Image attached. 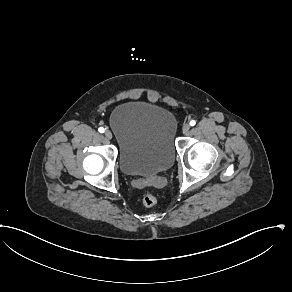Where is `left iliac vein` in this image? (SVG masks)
I'll use <instances>...</instances> for the list:
<instances>
[{
    "label": "left iliac vein",
    "instance_id": "4c4485c4",
    "mask_svg": "<svg viewBox=\"0 0 292 292\" xmlns=\"http://www.w3.org/2000/svg\"><path fill=\"white\" fill-rule=\"evenodd\" d=\"M190 130V125L189 124H184L182 127V132L183 134H187Z\"/></svg>",
    "mask_w": 292,
    "mask_h": 292
}]
</instances>
